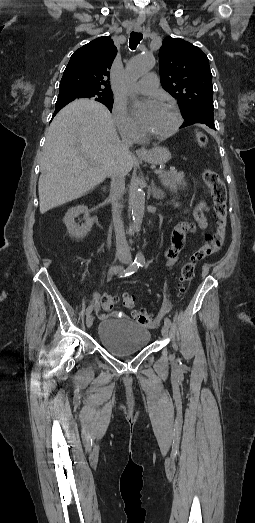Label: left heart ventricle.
I'll return each mask as SVG.
<instances>
[{"label": "left heart ventricle", "instance_id": "1", "mask_svg": "<svg viewBox=\"0 0 255 523\" xmlns=\"http://www.w3.org/2000/svg\"><path fill=\"white\" fill-rule=\"evenodd\" d=\"M176 121L174 110L167 105L155 107L147 121L142 125V131L148 138H156L172 130Z\"/></svg>", "mask_w": 255, "mask_h": 523}]
</instances>
